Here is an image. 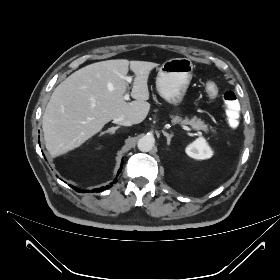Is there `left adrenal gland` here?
<instances>
[{"mask_svg": "<svg viewBox=\"0 0 280 280\" xmlns=\"http://www.w3.org/2000/svg\"><path fill=\"white\" fill-rule=\"evenodd\" d=\"M163 135L167 138V145H170L171 138L173 137V134H168L165 131H162Z\"/></svg>", "mask_w": 280, "mask_h": 280, "instance_id": "a2214340", "label": "left adrenal gland"}]
</instances>
